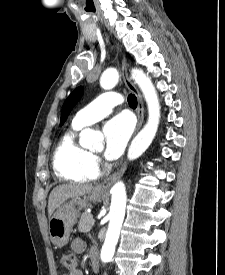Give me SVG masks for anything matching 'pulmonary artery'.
<instances>
[{"mask_svg": "<svg viewBox=\"0 0 225 275\" xmlns=\"http://www.w3.org/2000/svg\"><path fill=\"white\" fill-rule=\"evenodd\" d=\"M122 97L116 92H105L95 98L86 107L76 113L73 123L78 126H88L107 116L114 107L122 104Z\"/></svg>", "mask_w": 225, "mask_h": 275, "instance_id": "obj_1", "label": "pulmonary artery"}]
</instances>
